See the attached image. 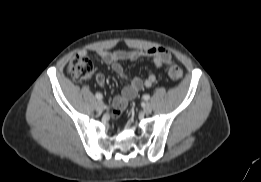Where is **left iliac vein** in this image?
Here are the masks:
<instances>
[{
	"mask_svg": "<svg viewBox=\"0 0 261 182\" xmlns=\"http://www.w3.org/2000/svg\"><path fill=\"white\" fill-rule=\"evenodd\" d=\"M143 111L144 113L146 114H150L152 112V107L149 103H146L144 106H143Z\"/></svg>",
	"mask_w": 261,
	"mask_h": 182,
	"instance_id": "4c4485c4",
	"label": "left iliac vein"
}]
</instances>
